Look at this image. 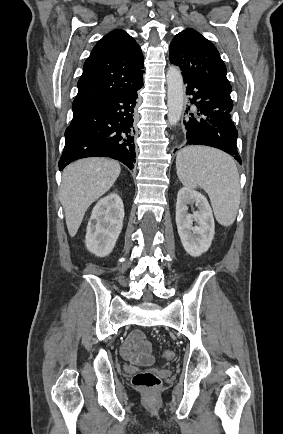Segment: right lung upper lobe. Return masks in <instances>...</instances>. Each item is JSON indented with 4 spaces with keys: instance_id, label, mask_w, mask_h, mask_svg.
<instances>
[{
    "instance_id": "cb5924a9",
    "label": "right lung upper lobe",
    "mask_w": 283,
    "mask_h": 434,
    "mask_svg": "<svg viewBox=\"0 0 283 434\" xmlns=\"http://www.w3.org/2000/svg\"><path fill=\"white\" fill-rule=\"evenodd\" d=\"M143 68V54L135 40L123 30L111 31L85 61L72 109L130 91L142 83Z\"/></svg>"
}]
</instances>
